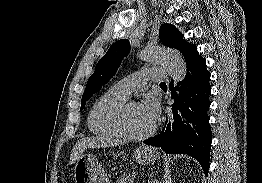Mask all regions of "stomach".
I'll list each match as a JSON object with an SVG mask.
<instances>
[{
    "label": "stomach",
    "instance_id": "obj_1",
    "mask_svg": "<svg viewBox=\"0 0 262 183\" xmlns=\"http://www.w3.org/2000/svg\"><path fill=\"white\" fill-rule=\"evenodd\" d=\"M159 157L158 152L150 147H138L134 159L141 165L152 164ZM75 183H110L98 159L91 154H83L74 166Z\"/></svg>",
    "mask_w": 262,
    "mask_h": 183
}]
</instances>
